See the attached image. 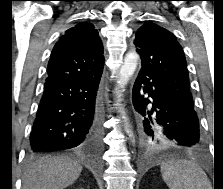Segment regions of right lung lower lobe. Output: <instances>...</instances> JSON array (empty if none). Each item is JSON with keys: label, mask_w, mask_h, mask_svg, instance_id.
<instances>
[{"label": "right lung lower lobe", "mask_w": 223, "mask_h": 189, "mask_svg": "<svg viewBox=\"0 0 223 189\" xmlns=\"http://www.w3.org/2000/svg\"><path fill=\"white\" fill-rule=\"evenodd\" d=\"M102 72L81 79L48 81L30 135V154L74 147L96 150L101 137L97 94Z\"/></svg>", "instance_id": "right-lung-lower-lobe-1"}]
</instances>
